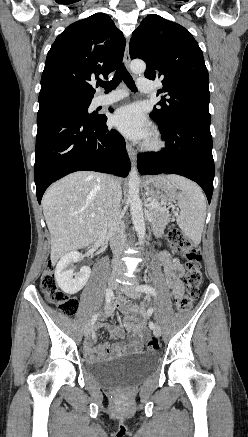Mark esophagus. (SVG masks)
<instances>
[{
	"instance_id": "34e87169",
	"label": "esophagus",
	"mask_w": 248,
	"mask_h": 437,
	"mask_svg": "<svg viewBox=\"0 0 248 437\" xmlns=\"http://www.w3.org/2000/svg\"><path fill=\"white\" fill-rule=\"evenodd\" d=\"M124 63L126 67L129 68L130 65L129 40H127L126 42V47L124 52ZM126 149L130 159L134 160L136 157V151L129 142H126Z\"/></svg>"
}]
</instances>
